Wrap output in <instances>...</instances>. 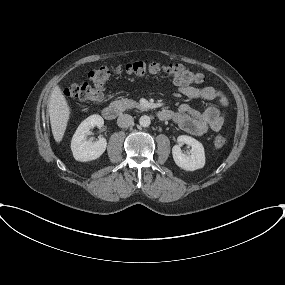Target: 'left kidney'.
<instances>
[{"instance_id": "5707ae66", "label": "left kidney", "mask_w": 285, "mask_h": 285, "mask_svg": "<svg viewBox=\"0 0 285 285\" xmlns=\"http://www.w3.org/2000/svg\"><path fill=\"white\" fill-rule=\"evenodd\" d=\"M178 144L172 148L173 159L177 166L186 170L194 171L201 169L205 165V153L203 145L187 135H181L177 138ZM187 144L191 147L190 154H184L181 145Z\"/></svg>"}]
</instances>
